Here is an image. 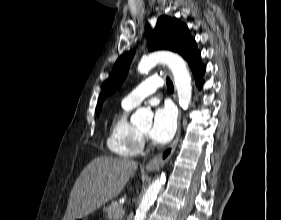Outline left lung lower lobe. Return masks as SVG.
I'll use <instances>...</instances> for the list:
<instances>
[{
    "instance_id": "obj_1",
    "label": "left lung lower lobe",
    "mask_w": 281,
    "mask_h": 220,
    "mask_svg": "<svg viewBox=\"0 0 281 220\" xmlns=\"http://www.w3.org/2000/svg\"><path fill=\"white\" fill-rule=\"evenodd\" d=\"M192 72L195 76L196 84L201 85V77L204 74L206 67L200 62V54L195 56L191 61L188 62Z\"/></svg>"
}]
</instances>
